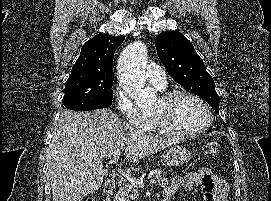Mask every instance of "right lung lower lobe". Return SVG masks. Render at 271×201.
Instances as JSON below:
<instances>
[{"label":"right lung lower lobe","mask_w":271,"mask_h":201,"mask_svg":"<svg viewBox=\"0 0 271 201\" xmlns=\"http://www.w3.org/2000/svg\"><path fill=\"white\" fill-rule=\"evenodd\" d=\"M62 107H63V105H62ZM95 110V109H94ZM76 111H89V110H76Z\"/></svg>","instance_id":"1"}]
</instances>
